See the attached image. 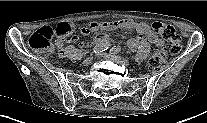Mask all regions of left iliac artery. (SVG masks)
<instances>
[{
    "label": "left iliac artery",
    "instance_id": "left-iliac-artery-1",
    "mask_svg": "<svg viewBox=\"0 0 207 123\" xmlns=\"http://www.w3.org/2000/svg\"><path fill=\"white\" fill-rule=\"evenodd\" d=\"M120 51H121V48L119 46H114L110 50V52L113 54H118V53H120Z\"/></svg>",
    "mask_w": 207,
    "mask_h": 123
}]
</instances>
